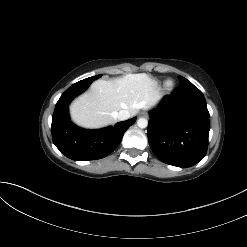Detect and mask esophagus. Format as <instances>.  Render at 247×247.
Segmentation results:
<instances>
[{
    "instance_id": "1",
    "label": "esophagus",
    "mask_w": 247,
    "mask_h": 247,
    "mask_svg": "<svg viewBox=\"0 0 247 247\" xmlns=\"http://www.w3.org/2000/svg\"><path fill=\"white\" fill-rule=\"evenodd\" d=\"M140 116H141V117H146V118H148L149 115H148V113L142 111V112H140Z\"/></svg>"
}]
</instances>
